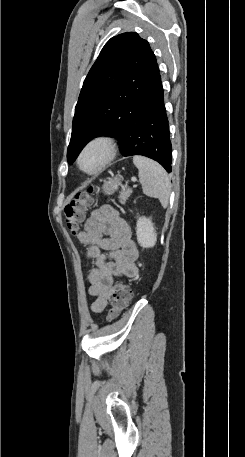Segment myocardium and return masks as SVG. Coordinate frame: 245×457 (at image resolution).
<instances>
[{
	"instance_id": "f54148a6",
	"label": "myocardium",
	"mask_w": 245,
	"mask_h": 457,
	"mask_svg": "<svg viewBox=\"0 0 245 457\" xmlns=\"http://www.w3.org/2000/svg\"><path fill=\"white\" fill-rule=\"evenodd\" d=\"M92 152H99L102 155L100 163L92 169H87L84 167L85 157ZM115 142L107 137H97L91 139L82 150L78 157V166L80 169L87 174H96L103 170L114 158L115 156Z\"/></svg>"
}]
</instances>
